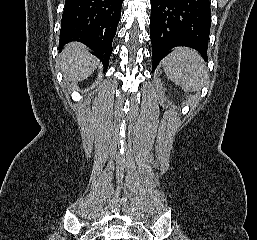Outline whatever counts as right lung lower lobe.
<instances>
[{
    "mask_svg": "<svg viewBox=\"0 0 257 240\" xmlns=\"http://www.w3.org/2000/svg\"><path fill=\"white\" fill-rule=\"evenodd\" d=\"M122 3L123 0H66L59 49L72 41L81 42L95 52L106 70Z\"/></svg>",
    "mask_w": 257,
    "mask_h": 240,
    "instance_id": "right-lung-lower-lobe-1",
    "label": "right lung lower lobe"
}]
</instances>
